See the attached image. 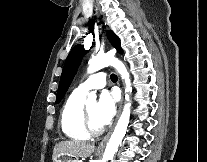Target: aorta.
<instances>
[{
    "label": "aorta",
    "mask_w": 207,
    "mask_h": 162,
    "mask_svg": "<svg viewBox=\"0 0 207 162\" xmlns=\"http://www.w3.org/2000/svg\"><path fill=\"white\" fill-rule=\"evenodd\" d=\"M107 66H113L118 71V73L121 75L122 79L124 80L125 85H126L125 100L127 101V103L124 105L123 111L117 122V125L109 139V142L107 143L102 162L113 160L114 155L117 152L118 147L123 137L126 134V130L129 124L130 106H131L129 102L130 101L129 93L132 92L130 75L125 65L120 60H118L112 55L97 54L96 56H92L88 62L87 72L91 74ZM87 103H96V94L94 92L88 95Z\"/></svg>",
    "instance_id": "1"
}]
</instances>
